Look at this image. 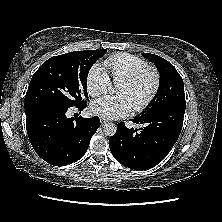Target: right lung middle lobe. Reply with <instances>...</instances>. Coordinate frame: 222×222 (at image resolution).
<instances>
[{
  "label": "right lung middle lobe",
  "instance_id": "right-lung-middle-lobe-1",
  "mask_svg": "<svg viewBox=\"0 0 222 222\" xmlns=\"http://www.w3.org/2000/svg\"><path fill=\"white\" fill-rule=\"evenodd\" d=\"M107 50L74 51L45 61L33 75L24 100L25 110L42 104L76 107L85 103L87 75Z\"/></svg>",
  "mask_w": 222,
  "mask_h": 222
}]
</instances>
